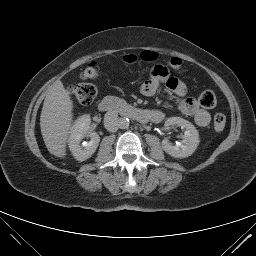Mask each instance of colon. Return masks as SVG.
Returning a JSON list of instances; mask_svg holds the SVG:
<instances>
[{"instance_id":"colon-1","label":"colon","mask_w":256,"mask_h":256,"mask_svg":"<svg viewBox=\"0 0 256 256\" xmlns=\"http://www.w3.org/2000/svg\"><path fill=\"white\" fill-rule=\"evenodd\" d=\"M157 58V54L152 51H145L139 56L137 55H126L123 57L125 63L131 64L138 60L152 61ZM168 64L174 69H179L182 62L178 58H172ZM100 76V70L96 62H89L81 72V78L84 81L96 80ZM70 93L74 98L83 105L91 104L97 97L99 89L95 84L81 82L74 84L70 87ZM199 103L202 107L207 109H212L217 104V98L212 91H204L199 97ZM226 116L223 113H217L214 116V128L216 131L220 132L225 128Z\"/></svg>"}]
</instances>
